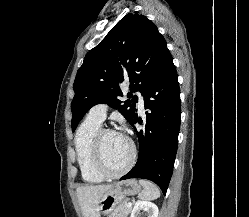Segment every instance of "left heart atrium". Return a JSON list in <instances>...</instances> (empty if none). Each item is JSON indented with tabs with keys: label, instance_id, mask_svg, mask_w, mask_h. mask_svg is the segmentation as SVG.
Masks as SVG:
<instances>
[{
	"label": "left heart atrium",
	"instance_id": "1",
	"mask_svg": "<svg viewBox=\"0 0 249 217\" xmlns=\"http://www.w3.org/2000/svg\"><path fill=\"white\" fill-rule=\"evenodd\" d=\"M120 134L124 137V135L122 133H120Z\"/></svg>",
	"mask_w": 249,
	"mask_h": 217
}]
</instances>
